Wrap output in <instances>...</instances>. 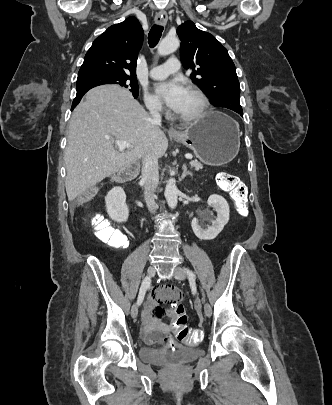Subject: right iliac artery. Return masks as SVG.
<instances>
[{"label":"right iliac artery","mask_w":332,"mask_h":405,"mask_svg":"<svg viewBox=\"0 0 332 405\" xmlns=\"http://www.w3.org/2000/svg\"><path fill=\"white\" fill-rule=\"evenodd\" d=\"M150 282H151V279L148 277H146L143 280L141 287H140L139 295H138L137 305H141V303L143 302L145 293H146L148 287L150 286Z\"/></svg>","instance_id":"obj_1"}]
</instances>
